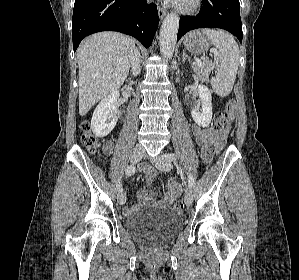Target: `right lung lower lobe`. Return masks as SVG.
Segmentation results:
<instances>
[{
	"label": "right lung lower lobe",
	"instance_id": "98d812e1",
	"mask_svg": "<svg viewBox=\"0 0 299 280\" xmlns=\"http://www.w3.org/2000/svg\"><path fill=\"white\" fill-rule=\"evenodd\" d=\"M158 24L156 5H147L145 0H75L73 49L76 51L85 36L100 31L131 35L148 48Z\"/></svg>",
	"mask_w": 299,
	"mask_h": 280
}]
</instances>
